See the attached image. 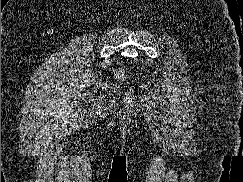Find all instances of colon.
Wrapping results in <instances>:
<instances>
[{
	"label": "colon",
	"mask_w": 243,
	"mask_h": 182,
	"mask_svg": "<svg viewBox=\"0 0 243 182\" xmlns=\"http://www.w3.org/2000/svg\"><path fill=\"white\" fill-rule=\"evenodd\" d=\"M117 78L121 79L122 75L120 73L117 74Z\"/></svg>",
	"instance_id": "5ec220e1"
}]
</instances>
